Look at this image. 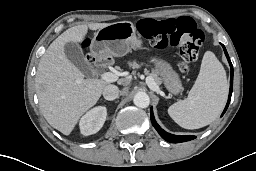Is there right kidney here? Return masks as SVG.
Returning a JSON list of instances; mask_svg holds the SVG:
<instances>
[{
  "mask_svg": "<svg viewBox=\"0 0 256 171\" xmlns=\"http://www.w3.org/2000/svg\"><path fill=\"white\" fill-rule=\"evenodd\" d=\"M107 117V109L98 106L89 110L79 122L81 134L88 136L97 133L103 126Z\"/></svg>",
  "mask_w": 256,
  "mask_h": 171,
  "instance_id": "right-kidney-1",
  "label": "right kidney"
}]
</instances>
